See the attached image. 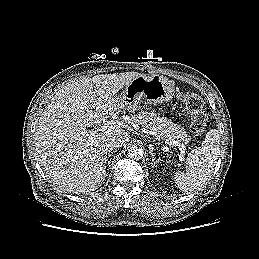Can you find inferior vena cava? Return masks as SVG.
<instances>
[{
	"label": "inferior vena cava",
	"instance_id": "602c4592",
	"mask_svg": "<svg viewBox=\"0 0 259 259\" xmlns=\"http://www.w3.org/2000/svg\"><path fill=\"white\" fill-rule=\"evenodd\" d=\"M124 142L122 139L117 138V137H112L108 140L107 142V147L110 148L111 150H116L119 149L123 146Z\"/></svg>",
	"mask_w": 259,
	"mask_h": 259
}]
</instances>
